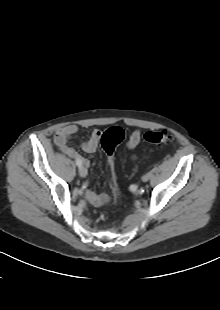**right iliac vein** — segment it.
<instances>
[{"mask_svg":"<svg viewBox=\"0 0 220 310\" xmlns=\"http://www.w3.org/2000/svg\"><path fill=\"white\" fill-rule=\"evenodd\" d=\"M79 174L81 177H86L87 176V169L85 167H80L79 168Z\"/></svg>","mask_w":220,"mask_h":310,"instance_id":"obj_1","label":"right iliac vein"}]
</instances>
